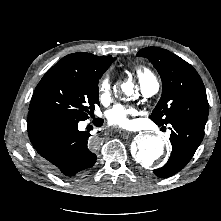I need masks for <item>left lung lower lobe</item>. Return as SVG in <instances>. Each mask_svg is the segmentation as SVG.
Listing matches in <instances>:
<instances>
[{"label":"left lung lower lobe","mask_w":221,"mask_h":221,"mask_svg":"<svg viewBox=\"0 0 221 221\" xmlns=\"http://www.w3.org/2000/svg\"><path fill=\"white\" fill-rule=\"evenodd\" d=\"M169 125L172 152L168 162L154 170V174L161 178L170 177L184 168L204 137V128L195 123L178 120Z\"/></svg>","instance_id":"0a47b994"}]
</instances>
